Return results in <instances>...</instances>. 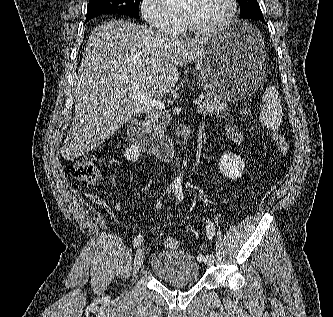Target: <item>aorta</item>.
I'll use <instances>...</instances> for the list:
<instances>
[{
    "mask_svg": "<svg viewBox=\"0 0 333 317\" xmlns=\"http://www.w3.org/2000/svg\"><path fill=\"white\" fill-rule=\"evenodd\" d=\"M161 5L166 8H175L180 6L185 0H157ZM183 176L179 174L174 180V182L178 185L182 183Z\"/></svg>",
    "mask_w": 333,
    "mask_h": 317,
    "instance_id": "762f6f07",
    "label": "aorta"
}]
</instances>
